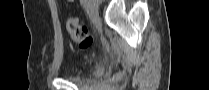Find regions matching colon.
<instances>
[{
    "label": "colon",
    "mask_w": 209,
    "mask_h": 90,
    "mask_svg": "<svg viewBox=\"0 0 209 90\" xmlns=\"http://www.w3.org/2000/svg\"><path fill=\"white\" fill-rule=\"evenodd\" d=\"M67 31L71 39L78 43L80 47L87 48L92 44L93 36L84 25H81L76 18L67 21Z\"/></svg>",
    "instance_id": "obj_1"
}]
</instances>
